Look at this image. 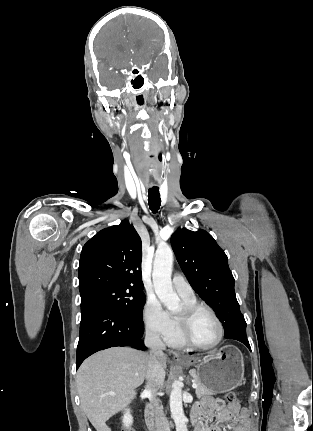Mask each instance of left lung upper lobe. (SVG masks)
I'll return each instance as SVG.
<instances>
[{"label":"left lung upper lobe","mask_w":313,"mask_h":431,"mask_svg":"<svg viewBox=\"0 0 313 431\" xmlns=\"http://www.w3.org/2000/svg\"><path fill=\"white\" fill-rule=\"evenodd\" d=\"M171 244L190 285L222 322L225 337L246 334L227 256L213 237L204 230L179 228L173 233Z\"/></svg>","instance_id":"1"}]
</instances>
